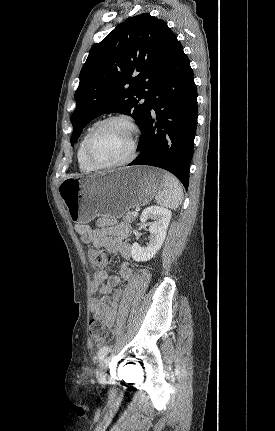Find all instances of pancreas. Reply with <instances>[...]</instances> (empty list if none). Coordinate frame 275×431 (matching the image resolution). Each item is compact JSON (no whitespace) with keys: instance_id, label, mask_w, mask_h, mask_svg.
Here are the masks:
<instances>
[{"instance_id":"obj_1","label":"pancreas","mask_w":275,"mask_h":431,"mask_svg":"<svg viewBox=\"0 0 275 431\" xmlns=\"http://www.w3.org/2000/svg\"><path fill=\"white\" fill-rule=\"evenodd\" d=\"M136 216H134L131 212H127L123 215V219L128 222H133Z\"/></svg>"}]
</instances>
